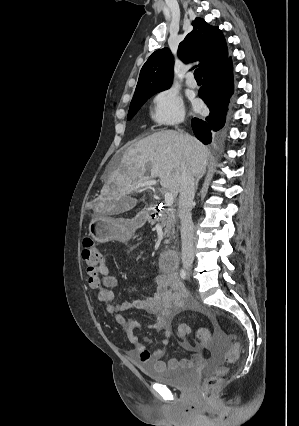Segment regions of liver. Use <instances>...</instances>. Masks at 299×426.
I'll return each instance as SVG.
<instances>
[{
  "mask_svg": "<svg viewBox=\"0 0 299 426\" xmlns=\"http://www.w3.org/2000/svg\"><path fill=\"white\" fill-rule=\"evenodd\" d=\"M209 155L208 148L188 134L181 137L176 131H162L145 137L127 147L102 189L98 207L115 211L133 208L138 201L129 195L139 189L140 183L156 177L163 188L177 196L182 164L193 176L202 177Z\"/></svg>",
  "mask_w": 299,
  "mask_h": 426,
  "instance_id": "liver-1",
  "label": "liver"
}]
</instances>
